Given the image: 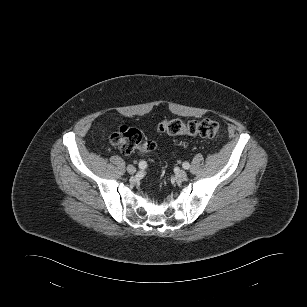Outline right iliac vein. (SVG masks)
Here are the masks:
<instances>
[{
	"mask_svg": "<svg viewBox=\"0 0 307 307\" xmlns=\"http://www.w3.org/2000/svg\"><path fill=\"white\" fill-rule=\"evenodd\" d=\"M127 172H128L129 174H134V173L136 172V168H135L134 166H132V165H129V166L127 167Z\"/></svg>",
	"mask_w": 307,
	"mask_h": 307,
	"instance_id": "obj_1",
	"label": "right iliac vein"
}]
</instances>
